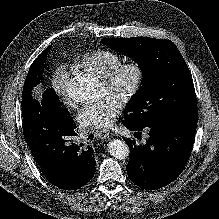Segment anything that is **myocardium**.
<instances>
[{
	"instance_id": "1",
	"label": "myocardium",
	"mask_w": 219,
	"mask_h": 219,
	"mask_svg": "<svg viewBox=\"0 0 219 219\" xmlns=\"http://www.w3.org/2000/svg\"><path fill=\"white\" fill-rule=\"evenodd\" d=\"M131 74V82L126 92L121 96L120 103H130L140 91L144 82V68L138 61H128L118 65L112 72L102 79L108 90H115L124 74Z\"/></svg>"
}]
</instances>
